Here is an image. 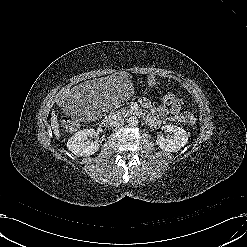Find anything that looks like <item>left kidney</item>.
<instances>
[{"label": "left kidney", "instance_id": "left-kidney-1", "mask_svg": "<svg viewBox=\"0 0 247 247\" xmlns=\"http://www.w3.org/2000/svg\"><path fill=\"white\" fill-rule=\"evenodd\" d=\"M162 129L169 133L166 137L163 134L157 136L156 144L162 150L177 152L188 142V134L184 129L176 125H165Z\"/></svg>", "mask_w": 247, "mask_h": 247}]
</instances>
